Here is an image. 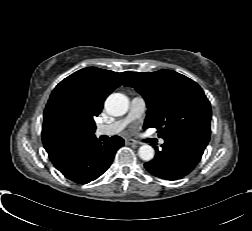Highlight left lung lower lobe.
<instances>
[{
    "instance_id": "1",
    "label": "left lung lower lobe",
    "mask_w": 252,
    "mask_h": 231,
    "mask_svg": "<svg viewBox=\"0 0 252 231\" xmlns=\"http://www.w3.org/2000/svg\"><path fill=\"white\" fill-rule=\"evenodd\" d=\"M162 150L155 147V158L145 163L153 175L176 180L190 173L200 161L210 136L199 132H184L164 138Z\"/></svg>"
}]
</instances>
